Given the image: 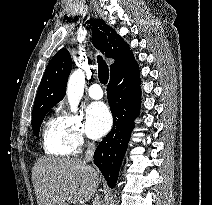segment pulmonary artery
Masks as SVG:
<instances>
[{"label":"pulmonary artery","mask_w":212,"mask_h":205,"mask_svg":"<svg viewBox=\"0 0 212 205\" xmlns=\"http://www.w3.org/2000/svg\"><path fill=\"white\" fill-rule=\"evenodd\" d=\"M89 96L93 99H101L103 97V90L98 83H93L88 89Z\"/></svg>","instance_id":"1"}]
</instances>
